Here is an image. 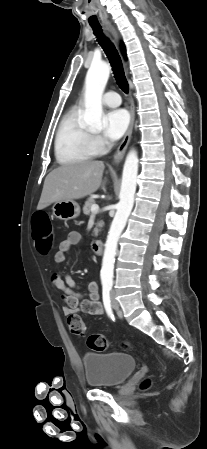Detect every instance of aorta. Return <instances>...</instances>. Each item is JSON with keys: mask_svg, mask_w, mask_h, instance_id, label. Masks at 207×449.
<instances>
[{"mask_svg": "<svg viewBox=\"0 0 207 449\" xmlns=\"http://www.w3.org/2000/svg\"><path fill=\"white\" fill-rule=\"evenodd\" d=\"M110 74V67L105 62L93 63L85 79V112L83 123L93 129L102 128V95ZM138 174V156L131 150L123 167L120 201L116 207V214L112 221L102 260L100 272L103 285H112L114 262L119 237L125 228L127 219L134 205L136 180Z\"/></svg>", "mask_w": 207, "mask_h": 449, "instance_id": "762f6f07", "label": "aorta"}]
</instances>
